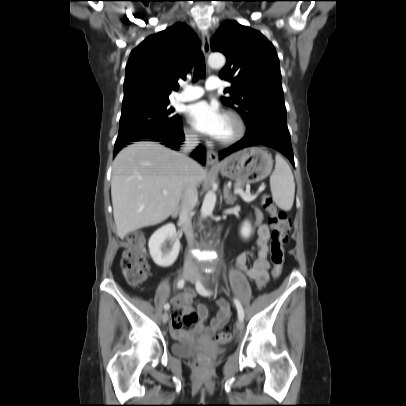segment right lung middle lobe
Returning a JSON list of instances; mask_svg holds the SVG:
<instances>
[{
  "label": "right lung middle lobe",
  "instance_id": "1",
  "mask_svg": "<svg viewBox=\"0 0 406 406\" xmlns=\"http://www.w3.org/2000/svg\"><path fill=\"white\" fill-rule=\"evenodd\" d=\"M168 104L169 100H147L122 106L117 140L155 134L175 127L181 119Z\"/></svg>",
  "mask_w": 406,
  "mask_h": 406
}]
</instances>
